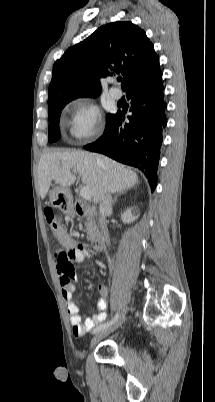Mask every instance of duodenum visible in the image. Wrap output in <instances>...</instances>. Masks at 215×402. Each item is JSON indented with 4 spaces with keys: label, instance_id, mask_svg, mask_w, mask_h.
Wrapping results in <instances>:
<instances>
[{
    "label": "duodenum",
    "instance_id": "duodenum-1",
    "mask_svg": "<svg viewBox=\"0 0 215 402\" xmlns=\"http://www.w3.org/2000/svg\"><path fill=\"white\" fill-rule=\"evenodd\" d=\"M89 212H91V210L84 207V205L81 202H78L74 208V213L76 214H85ZM105 246H106L105 237L103 235H97L93 240V247L97 251H101L105 248Z\"/></svg>",
    "mask_w": 215,
    "mask_h": 402
}]
</instances>
